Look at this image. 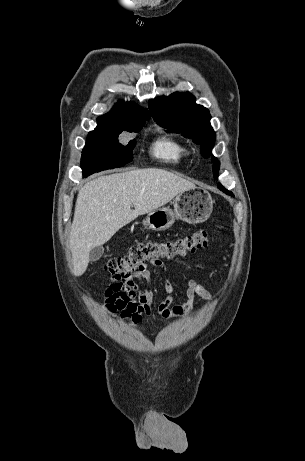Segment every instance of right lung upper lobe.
I'll list each match as a JSON object with an SVG mask.
<instances>
[{"instance_id": "obj_1", "label": "right lung upper lobe", "mask_w": 305, "mask_h": 461, "mask_svg": "<svg viewBox=\"0 0 305 461\" xmlns=\"http://www.w3.org/2000/svg\"><path fill=\"white\" fill-rule=\"evenodd\" d=\"M150 118V114L146 109H138L133 102L117 103L113 109L98 118V121L114 122L121 124H130L133 122H142Z\"/></svg>"}]
</instances>
